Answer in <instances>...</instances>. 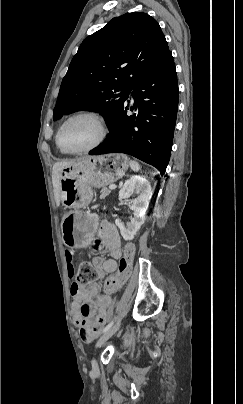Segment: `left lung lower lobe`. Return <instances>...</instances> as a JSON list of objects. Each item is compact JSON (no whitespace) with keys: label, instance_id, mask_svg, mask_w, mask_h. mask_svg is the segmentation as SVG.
Here are the masks:
<instances>
[{"label":"left lung lower lobe","instance_id":"left-lung-lower-lobe-1","mask_svg":"<svg viewBox=\"0 0 243 404\" xmlns=\"http://www.w3.org/2000/svg\"><path fill=\"white\" fill-rule=\"evenodd\" d=\"M132 89L138 113L127 116L128 107L124 106L108 126L110 133L104 143L90 154L126 153L153 165L163 175L170 159L179 98L172 53Z\"/></svg>","mask_w":243,"mask_h":404}]
</instances>
